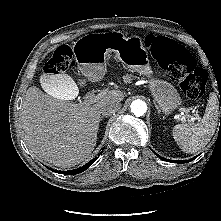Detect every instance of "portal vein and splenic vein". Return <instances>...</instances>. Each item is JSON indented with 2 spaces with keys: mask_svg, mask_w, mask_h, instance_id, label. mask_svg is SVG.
<instances>
[{
  "mask_svg": "<svg viewBox=\"0 0 221 221\" xmlns=\"http://www.w3.org/2000/svg\"><path fill=\"white\" fill-rule=\"evenodd\" d=\"M52 93L54 95H59V93L56 91H52ZM101 94H103V95L106 94V91H103ZM100 97H101V95H95L94 93L87 94L88 101H90L92 103L96 102L98 99H100ZM180 111H181V115H187L190 112L189 109H185V108H180ZM191 113L194 115V117L190 118L191 121L200 120V116L197 111H192Z\"/></svg>",
  "mask_w": 221,
  "mask_h": 221,
  "instance_id": "1",
  "label": "portal vein and splenic vein"
}]
</instances>
